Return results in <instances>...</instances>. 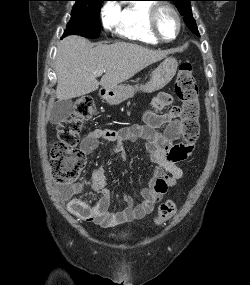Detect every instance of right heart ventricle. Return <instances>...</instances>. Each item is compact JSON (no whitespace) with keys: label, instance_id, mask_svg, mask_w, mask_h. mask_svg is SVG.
Segmentation results:
<instances>
[{"label":"right heart ventricle","instance_id":"obj_1","mask_svg":"<svg viewBox=\"0 0 250 285\" xmlns=\"http://www.w3.org/2000/svg\"><path fill=\"white\" fill-rule=\"evenodd\" d=\"M154 3L148 0H136L125 5L119 11L117 33L124 39L145 45L155 46L159 42L149 31V14Z\"/></svg>","mask_w":250,"mask_h":285}]
</instances>
